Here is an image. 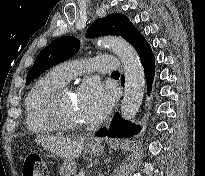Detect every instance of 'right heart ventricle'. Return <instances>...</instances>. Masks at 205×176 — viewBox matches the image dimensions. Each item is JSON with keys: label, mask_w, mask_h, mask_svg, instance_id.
<instances>
[{"label": "right heart ventricle", "mask_w": 205, "mask_h": 176, "mask_svg": "<svg viewBox=\"0 0 205 176\" xmlns=\"http://www.w3.org/2000/svg\"><path fill=\"white\" fill-rule=\"evenodd\" d=\"M65 84L53 72L41 77L30 89L25 98L26 127L33 134L55 132V125L45 116V98L55 89Z\"/></svg>", "instance_id": "1"}]
</instances>
